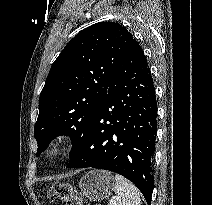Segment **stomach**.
<instances>
[{
	"label": "stomach",
	"mask_w": 212,
	"mask_h": 205,
	"mask_svg": "<svg viewBox=\"0 0 212 205\" xmlns=\"http://www.w3.org/2000/svg\"><path fill=\"white\" fill-rule=\"evenodd\" d=\"M114 184L111 173L104 170H93L80 179L79 188L85 199L99 202L111 194Z\"/></svg>",
	"instance_id": "0dacf381"
}]
</instances>
